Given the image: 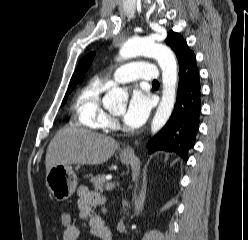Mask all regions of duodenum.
<instances>
[{
  "instance_id": "duodenum-1",
  "label": "duodenum",
  "mask_w": 248,
  "mask_h": 240,
  "mask_svg": "<svg viewBox=\"0 0 248 240\" xmlns=\"http://www.w3.org/2000/svg\"><path fill=\"white\" fill-rule=\"evenodd\" d=\"M93 233L97 235L101 240H112L110 229L103 223H100L96 227H94Z\"/></svg>"
}]
</instances>
